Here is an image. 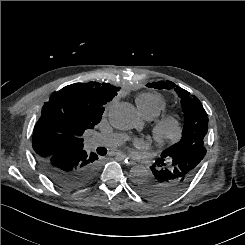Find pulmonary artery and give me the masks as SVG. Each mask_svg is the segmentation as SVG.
I'll list each match as a JSON object with an SVG mask.
<instances>
[{
    "mask_svg": "<svg viewBox=\"0 0 245 245\" xmlns=\"http://www.w3.org/2000/svg\"><path fill=\"white\" fill-rule=\"evenodd\" d=\"M125 139L126 136L120 133L94 134L90 137L89 144L92 146L116 147L122 144Z\"/></svg>",
    "mask_w": 245,
    "mask_h": 245,
    "instance_id": "e3ab8cb5",
    "label": "pulmonary artery"
}]
</instances>
